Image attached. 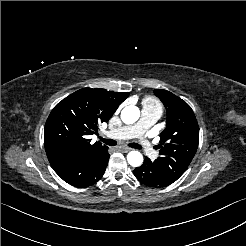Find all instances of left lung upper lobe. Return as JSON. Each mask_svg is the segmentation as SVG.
Instances as JSON below:
<instances>
[{"label":"left lung upper lobe","instance_id":"obj_1","mask_svg":"<svg viewBox=\"0 0 246 246\" xmlns=\"http://www.w3.org/2000/svg\"><path fill=\"white\" fill-rule=\"evenodd\" d=\"M167 111L166 128L160 134L156 163L179 178L192 161L199 143V127L191 107L163 89H155Z\"/></svg>","mask_w":246,"mask_h":246}]
</instances>
